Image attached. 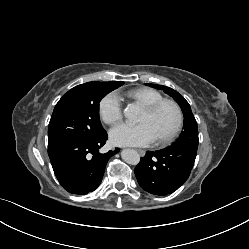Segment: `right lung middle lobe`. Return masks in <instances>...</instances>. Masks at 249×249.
Returning a JSON list of instances; mask_svg holds the SVG:
<instances>
[{
    "label": "right lung middle lobe",
    "mask_w": 249,
    "mask_h": 249,
    "mask_svg": "<svg viewBox=\"0 0 249 249\" xmlns=\"http://www.w3.org/2000/svg\"><path fill=\"white\" fill-rule=\"evenodd\" d=\"M114 89L98 82H88L62 97L49 122L48 150L71 141L92 140L104 133L99 119V102Z\"/></svg>",
    "instance_id": "1"
}]
</instances>
